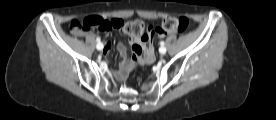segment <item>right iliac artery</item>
Wrapping results in <instances>:
<instances>
[{
	"mask_svg": "<svg viewBox=\"0 0 276 120\" xmlns=\"http://www.w3.org/2000/svg\"><path fill=\"white\" fill-rule=\"evenodd\" d=\"M96 41H97L98 43H100V42H101V39H100L99 37H97Z\"/></svg>",
	"mask_w": 276,
	"mask_h": 120,
	"instance_id": "right-iliac-artery-1",
	"label": "right iliac artery"
}]
</instances>
